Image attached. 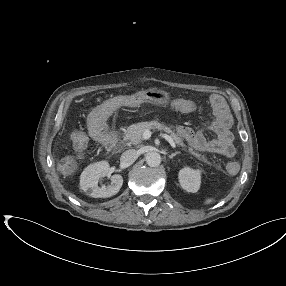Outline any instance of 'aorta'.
Wrapping results in <instances>:
<instances>
[{"label": "aorta", "mask_w": 286, "mask_h": 286, "mask_svg": "<svg viewBox=\"0 0 286 286\" xmlns=\"http://www.w3.org/2000/svg\"><path fill=\"white\" fill-rule=\"evenodd\" d=\"M146 163L150 167H157L161 163V156L157 152H149L146 154Z\"/></svg>", "instance_id": "obj_1"}]
</instances>
